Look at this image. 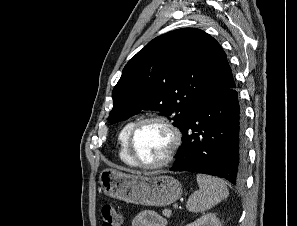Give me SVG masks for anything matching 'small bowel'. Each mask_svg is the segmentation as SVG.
I'll use <instances>...</instances> for the list:
<instances>
[{
    "mask_svg": "<svg viewBox=\"0 0 297 226\" xmlns=\"http://www.w3.org/2000/svg\"><path fill=\"white\" fill-rule=\"evenodd\" d=\"M131 226H166V220L154 211H142L134 215Z\"/></svg>",
    "mask_w": 297,
    "mask_h": 226,
    "instance_id": "small-bowel-1",
    "label": "small bowel"
}]
</instances>
